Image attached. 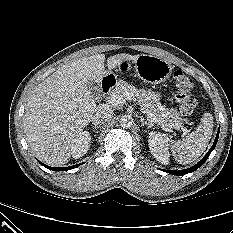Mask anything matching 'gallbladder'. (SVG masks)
Masks as SVG:
<instances>
[{"mask_svg":"<svg viewBox=\"0 0 233 233\" xmlns=\"http://www.w3.org/2000/svg\"><path fill=\"white\" fill-rule=\"evenodd\" d=\"M88 88L90 90V92L96 96L97 94L101 93V88L99 83L95 82V81H88Z\"/></svg>","mask_w":233,"mask_h":233,"instance_id":"bac80fb5","label":"gallbladder"}]
</instances>
